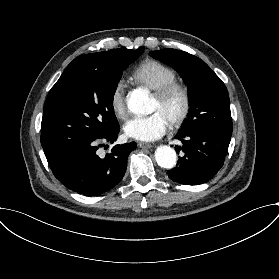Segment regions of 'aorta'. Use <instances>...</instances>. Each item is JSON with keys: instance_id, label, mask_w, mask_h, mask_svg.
Returning a JSON list of instances; mask_svg holds the SVG:
<instances>
[{"instance_id": "762f6f07", "label": "aorta", "mask_w": 279, "mask_h": 279, "mask_svg": "<svg viewBox=\"0 0 279 279\" xmlns=\"http://www.w3.org/2000/svg\"><path fill=\"white\" fill-rule=\"evenodd\" d=\"M128 109L135 114L151 113L150 101L147 93L143 90H135L128 97ZM157 164L166 169H172L176 165L177 154L170 146H158L155 151Z\"/></svg>"}]
</instances>
